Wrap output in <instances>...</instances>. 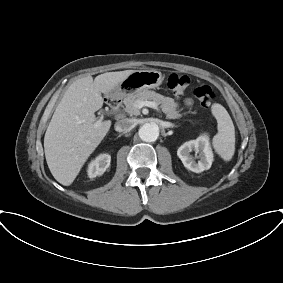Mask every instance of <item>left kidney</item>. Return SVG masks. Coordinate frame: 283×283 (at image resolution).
Instances as JSON below:
<instances>
[{
	"label": "left kidney",
	"instance_id": "obj_1",
	"mask_svg": "<svg viewBox=\"0 0 283 283\" xmlns=\"http://www.w3.org/2000/svg\"><path fill=\"white\" fill-rule=\"evenodd\" d=\"M199 153V160L195 162L191 152ZM177 155L181 159L183 165L195 173H201L208 170L213 161V153L210 147L207 135H201L196 140H190L181 145L177 150Z\"/></svg>",
	"mask_w": 283,
	"mask_h": 283
}]
</instances>
